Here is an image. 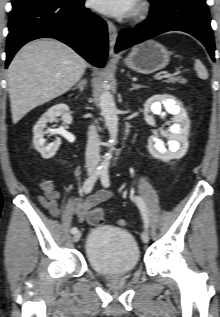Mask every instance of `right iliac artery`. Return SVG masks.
<instances>
[{
  "label": "right iliac artery",
  "mask_w": 220,
  "mask_h": 317,
  "mask_svg": "<svg viewBox=\"0 0 220 317\" xmlns=\"http://www.w3.org/2000/svg\"><path fill=\"white\" fill-rule=\"evenodd\" d=\"M101 175V171H96L91 177H89L85 182H84V185H83V191L84 193L88 194L90 193V191L92 190L95 182H96V179L97 177ZM78 231L77 227H73L71 229V233L72 234H75L76 232Z\"/></svg>",
  "instance_id": "obj_1"
}]
</instances>
